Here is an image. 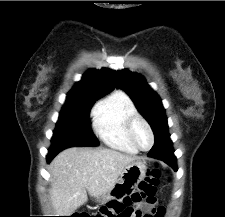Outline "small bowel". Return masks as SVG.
Here are the masks:
<instances>
[{"label": "small bowel", "mask_w": 225, "mask_h": 217, "mask_svg": "<svg viewBox=\"0 0 225 217\" xmlns=\"http://www.w3.org/2000/svg\"><path fill=\"white\" fill-rule=\"evenodd\" d=\"M129 193L130 192H127L124 195H128ZM155 210V200L153 198L146 200V202H139L127 207H122L121 211L117 214V217H138L139 215H141V217H154ZM162 216L163 213L160 217Z\"/></svg>", "instance_id": "1"}]
</instances>
